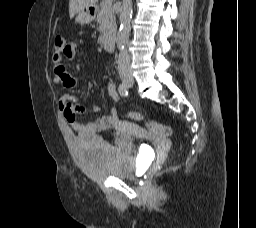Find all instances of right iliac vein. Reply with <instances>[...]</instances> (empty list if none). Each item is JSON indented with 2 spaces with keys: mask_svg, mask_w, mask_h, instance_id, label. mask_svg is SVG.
<instances>
[{
  "mask_svg": "<svg viewBox=\"0 0 256 228\" xmlns=\"http://www.w3.org/2000/svg\"><path fill=\"white\" fill-rule=\"evenodd\" d=\"M122 80H123V83H125L126 85H128L132 82V78L128 75L123 76Z\"/></svg>",
  "mask_w": 256,
  "mask_h": 228,
  "instance_id": "1",
  "label": "right iliac vein"
}]
</instances>
